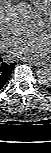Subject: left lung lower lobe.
I'll return each mask as SVG.
<instances>
[{"mask_svg": "<svg viewBox=\"0 0 51 153\" xmlns=\"http://www.w3.org/2000/svg\"><path fill=\"white\" fill-rule=\"evenodd\" d=\"M48 90H49V91H51V87H50V88H48Z\"/></svg>", "mask_w": 51, "mask_h": 153, "instance_id": "left-lung-lower-lobe-1", "label": "left lung lower lobe"}]
</instances>
